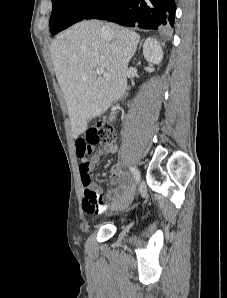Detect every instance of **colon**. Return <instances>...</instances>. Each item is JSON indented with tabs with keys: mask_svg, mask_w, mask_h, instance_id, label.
<instances>
[{
	"mask_svg": "<svg viewBox=\"0 0 227 298\" xmlns=\"http://www.w3.org/2000/svg\"><path fill=\"white\" fill-rule=\"evenodd\" d=\"M115 138V131L112 125L106 122H99L87 131L85 138L80 139H86L90 146H94L97 144L114 143ZM84 182H88L87 177L84 179ZM91 199H94L93 195H91Z\"/></svg>",
	"mask_w": 227,
	"mask_h": 298,
	"instance_id": "5ec220e1",
	"label": "colon"
}]
</instances>
